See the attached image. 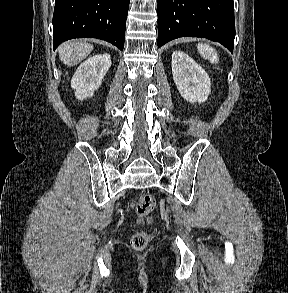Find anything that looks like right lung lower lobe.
<instances>
[{
  "label": "right lung lower lobe",
  "mask_w": 288,
  "mask_h": 293,
  "mask_svg": "<svg viewBox=\"0 0 288 293\" xmlns=\"http://www.w3.org/2000/svg\"><path fill=\"white\" fill-rule=\"evenodd\" d=\"M130 0H56L53 47L73 38L92 37L123 50Z\"/></svg>",
  "instance_id": "98d812e1"
}]
</instances>
